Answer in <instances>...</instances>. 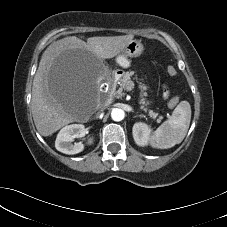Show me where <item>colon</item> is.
Wrapping results in <instances>:
<instances>
[{
  "instance_id": "5ec220e1",
  "label": "colon",
  "mask_w": 227,
  "mask_h": 227,
  "mask_svg": "<svg viewBox=\"0 0 227 227\" xmlns=\"http://www.w3.org/2000/svg\"><path fill=\"white\" fill-rule=\"evenodd\" d=\"M167 72L169 75H175L177 72H176V69L174 67H169L167 69ZM178 98L177 97H174L172 98L170 101H169V106L170 107H175L177 104H178Z\"/></svg>"
}]
</instances>
